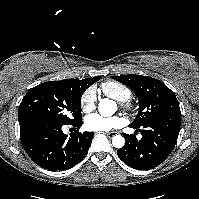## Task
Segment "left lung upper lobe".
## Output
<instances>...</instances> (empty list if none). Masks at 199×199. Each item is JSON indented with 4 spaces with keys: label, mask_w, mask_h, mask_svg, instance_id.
<instances>
[{
    "label": "left lung upper lobe",
    "mask_w": 199,
    "mask_h": 199,
    "mask_svg": "<svg viewBox=\"0 0 199 199\" xmlns=\"http://www.w3.org/2000/svg\"><path fill=\"white\" fill-rule=\"evenodd\" d=\"M128 86L139 99V112L130 126L142 127L164 115L181 114L175 94L163 82L139 75L112 76Z\"/></svg>",
    "instance_id": "left-lung-upper-lobe-1"
}]
</instances>
